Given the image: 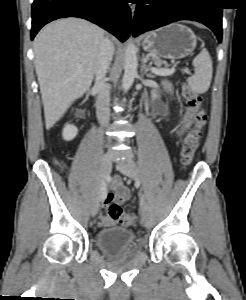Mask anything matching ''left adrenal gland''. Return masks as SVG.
<instances>
[{"instance_id":"left-adrenal-gland-1","label":"left adrenal gland","mask_w":246,"mask_h":300,"mask_svg":"<svg viewBox=\"0 0 246 300\" xmlns=\"http://www.w3.org/2000/svg\"><path fill=\"white\" fill-rule=\"evenodd\" d=\"M143 69H144V73L146 74L147 77H149V78L154 77V75H152L151 73H148L149 69H148L147 65L145 64V61H144V64H143Z\"/></svg>"}]
</instances>
